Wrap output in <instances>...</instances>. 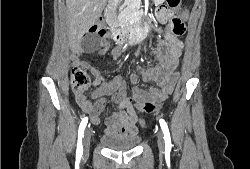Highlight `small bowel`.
Instances as JSON below:
<instances>
[{"mask_svg":"<svg viewBox=\"0 0 250 169\" xmlns=\"http://www.w3.org/2000/svg\"><path fill=\"white\" fill-rule=\"evenodd\" d=\"M163 15L173 26L175 20H180L183 23L188 17V12L179 9L175 16L170 13H163ZM165 37L167 42L158 44L152 51L156 63L146 70L139 69L138 72L131 75V96L127 93L122 76L117 75L110 80L105 79L97 67L77 59L85 53V50H75L77 64L83 70L89 71L93 77V85L96 87L91 94V98L95 99V102H92L85 94H76V102L80 108L90 115L93 122L98 123L99 116L104 112L108 98L118 105V111L112 113L106 120L108 133L114 135L135 134L138 115H133L132 112L142 108H134V103H144V98H148V95H156V91H167V95L172 93L178 78L177 67L182 52V44L177 37L170 33H166ZM99 46L98 54L102 55L109 47V43L102 41ZM115 55L117 56L118 53H115ZM140 80L146 83H155L156 86L144 90L139 86Z\"/></svg>","mask_w":250,"mask_h":169,"instance_id":"obj_1","label":"small bowel"}]
</instances>
